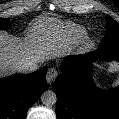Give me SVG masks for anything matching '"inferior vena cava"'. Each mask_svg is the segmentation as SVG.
<instances>
[{
	"label": "inferior vena cava",
	"mask_w": 119,
	"mask_h": 119,
	"mask_svg": "<svg viewBox=\"0 0 119 119\" xmlns=\"http://www.w3.org/2000/svg\"><path fill=\"white\" fill-rule=\"evenodd\" d=\"M19 71L22 73H31L38 69V63L28 62L18 67Z\"/></svg>",
	"instance_id": "602c4592"
}]
</instances>
